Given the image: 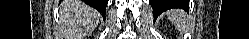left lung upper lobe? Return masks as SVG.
Returning a JSON list of instances; mask_svg holds the SVG:
<instances>
[{
	"mask_svg": "<svg viewBox=\"0 0 249 39\" xmlns=\"http://www.w3.org/2000/svg\"><path fill=\"white\" fill-rule=\"evenodd\" d=\"M181 4H183L181 1L180 2H176V3H174V7L176 6H178V5H181Z\"/></svg>",
	"mask_w": 249,
	"mask_h": 39,
	"instance_id": "obj_1",
	"label": "left lung upper lobe"
}]
</instances>
